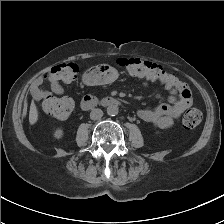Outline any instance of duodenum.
Returning a JSON list of instances; mask_svg holds the SVG:
<instances>
[{"label": "duodenum", "instance_id": "duodenum-1", "mask_svg": "<svg viewBox=\"0 0 224 224\" xmlns=\"http://www.w3.org/2000/svg\"><path fill=\"white\" fill-rule=\"evenodd\" d=\"M119 104H120L119 100L113 97H101V98L87 97L81 101L80 107L82 110L86 111L97 105L103 107H111V106H117Z\"/></svg>", "mask_w": 224, "mask_h": 224}]
</instances>
